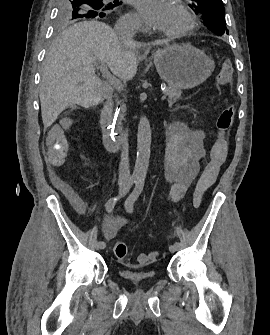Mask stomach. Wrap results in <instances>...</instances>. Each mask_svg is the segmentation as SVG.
Instances as JSON below:
<instances>
[{"label":"stomach","instance_id":"0dacf381","mask_svg":"<svg viewBox=\"0 0 270 335\" xmlns=\"http://www.w3.org/2000/svg\"><path fill=\"white\" fill-rule=\"evenodd\" d=\"M156 70L170 88L189 90L211 76L215 64L205 52L190 44H173L153 54Z\"/></svg>","mask_w":270,"mask_h":335}]
</instances>
